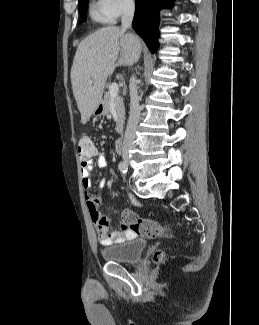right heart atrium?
<instances>
[{
    "label": "right heart atrium",
    "mask_w": 259,
    "mask_h": 325,
    "mask_svg": "<svg viewBox=\"0 0 259 325\" xmlns=\"http://www.w3.org/2000/svg\"><path fill=\"white\" fill-rule=\"evenodd\" d=\"M102 11L111 20L119 18L134 6V0H99Z\"/></svg>",
    "instance_id": "d8ad5b80"
}]
</instances>
